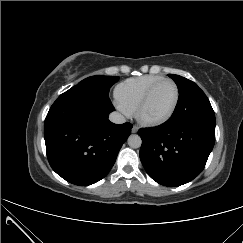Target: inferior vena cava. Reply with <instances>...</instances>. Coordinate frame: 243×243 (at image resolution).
Masks as SVG:
<instances>
[{
    "label": "inferior vena cava",
    "mask_w": 243,
    "mask_h": 243,
    "mask_svg": "<svg viewBox=\"0 0 243 243\" xmlns=\"http://www.w3.org/2000/svg\"><path fill=\"white\" fill-rule=\"evenodd\" d=\"M111 122L116 124H122L126 122L125 117L119 112H112L109 116Z\"/></svg>",
    "instance_id": "1"
}]
</instances>
